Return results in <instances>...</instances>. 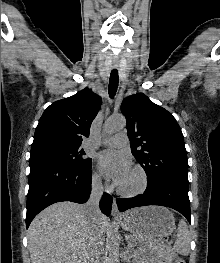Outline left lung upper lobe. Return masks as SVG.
I'll return each instance as SVG.
<instances>
[{"mask_svg": "<svg viewBox=\"0 0 220 263\" xmlns=\"http://www.w3.org/2000/svg\"><path fill=\"white\" fill-rule=\"evenodd\" d=\"M121 112L132 154L147 174V185L169 181L188 188L184 137L173 115L142 93L127 97Z\"/></svg>", "mask_w": 220, "mask_h": 263, "instance_id": "1", "label": "left lung upper lobe"}]
</instances>
